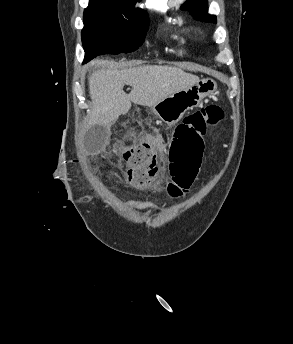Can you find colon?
Instances as JSON below:
<instances>
[{"instance_id": "colon-1", "label": "colon", "mask_w": 293, "mask_h": 344, "mask_svg": "<svg viewBox=\"0 0 293 344\" xmlns=\"http://www.w3.org/2000/svg\"><path fill=\"white\" fill-rule=\"evenodd\" d=\"M222 118V108L209 105L191 112L176 127L170 145L173 172L163 184L169 196L179 197L188 191L201 165L204 137ZM154 150V143L148 138L122 147L120 164L131 187L147 190L156 183L151 173Z\"/></svg>"}]
</instances>
